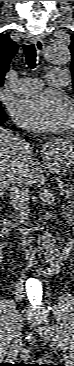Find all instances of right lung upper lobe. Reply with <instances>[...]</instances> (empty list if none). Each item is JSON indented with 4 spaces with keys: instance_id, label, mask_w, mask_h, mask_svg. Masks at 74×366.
I'll list each match as a JSON object with an SVG mask.
<instances>
[{
    "instance_id": "right-lung-upper-lobe-1",
    "label": "right lung upper lobe",
    "mask_w": 74,
    "mask_h": 366,
    "mask_svg": "<svg viewBox=\"0 0 74 366\" xmlns=\"http://www.w3.org/2000/svg\"><path fill=\"white\" fill-rule=\"evenodd\" d=\"M18 51L17 44L8 34H0V87L4 83L5 73L9 69L12 58Z\"/></svg>"
}]
</instances>
